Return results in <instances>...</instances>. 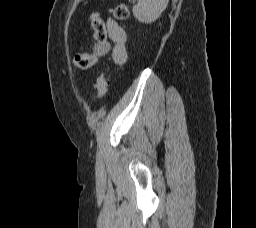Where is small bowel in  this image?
<instances>
[{
    "label": "small bowel",
    "mask_w": 256,
    "mask_h": 228,
    "mask_svg": "<svg viewBox=\"0 0 256 228\" xmlns=\"http://www.w3.org/2000/svg\"><path fill=\"white\" fill-rule=\"evenodd\" d=\"M106 31L108 40L98 45L100 55L111 54L113 61L117 65H122L127 59L125 30L112 18L106 21Z\"/></svg>",
    "instance_id": "obj_1"
}]
</instances>
